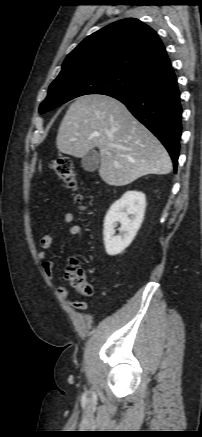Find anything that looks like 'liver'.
Returning a JSON list of instances; mask_svg holds the SVG:
<instances>
[{"label":"liver","instance_id":"liver-1","mask_svg":"<svg viewBox=\"0 0 202 437\" xmlns=\"http://www.w3.org/2000/svg\"><path fill=\"white\" fill-rule=\"evenodd\" d=\"M58 150L76 158L98 147L99 175L124 186L148 174H169L172 162L161 142L120 101L106 95L78 97L68 108L56 138Z\"/></svg>","mask_w":202,"mask_h":437}]
</instances>
